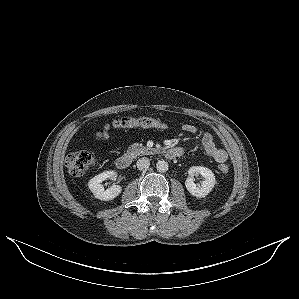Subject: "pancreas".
Returning <instances> with one entry per match:
<instances>
[{"mask_svg":"<svg viewBox=\"0 0 299 299\" xmlns=\"http://www.w3.org/2000/svg\"><path fill=\"white\" fill-rule=\"evenodd\" d=\"M153 151V148L146 147L143 144L134 143L128 147L127 153L132 157H137L140 155L152 154Z\"/></svg>","mask_w":299,"mask_h":299,"instance_id":"cf45deb5","label":"pancreas"}]
</instances>
